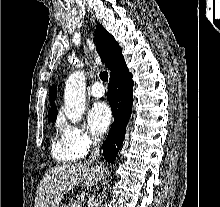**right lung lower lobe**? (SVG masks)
Instances as JSON below:
<instances>
[{
	"label": "right lung lower lobe",
	"instance_id": "1",
	"mask_svg": "<svg viewBox=\"0 0 220 207\" xmlns=\"http://www.w3.org/2000/svg\"><path fill=\"white\" fill-rule=\"evenodd\" d=\"M132 74L124 58L113 67L108 84V100L112 109L114 122L103 143V156L107 162H114L123 143L126 125L130 119L133 103Z\"/></svg>",
	"mask_w": 220,
	"mask_h": 207
}]
</instances>
